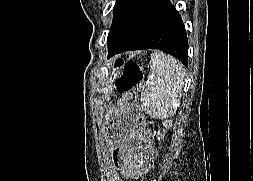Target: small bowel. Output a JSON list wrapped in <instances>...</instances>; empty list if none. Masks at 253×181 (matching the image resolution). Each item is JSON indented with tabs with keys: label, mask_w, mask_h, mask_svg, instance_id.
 <instances>
[{
	"label": "small bowel",
	"mask_w": 253,
	"mask_h": 181,
	"mask_svg": "<svg viewBox=\"0 0 253 181\" xmlns=\"http://www.w3.org/2000/svg\"><path fill=\"white\" fill-rule=\"evenodd\" d=\"M126 108V101L120 104V109ZM119 122L112 123L114 131V142L118 143L111 151V159L114 165L120 166L125 178L137 179L151 166L156 157V149L151 144V139L145 129L133 132L131 135L119 130ZM119 156H123L122 164L119 163Z\"/></svg>",
	"instance_id": "1"
}]
</instances>
